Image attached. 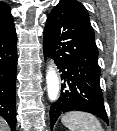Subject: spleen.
<instances>
[{"mask_svg": "<svg viewBox=\"0 0 117 131\" xmlns=\"http://www.w3.org/2000/svg\"><path fill=\"white\" fill-rule=\"evenodd\" d=\"M61 122L70 131H103L101 123L92 114L71 111L62 116Z\"/></svg>", "mask_w": 117, "mask_h": 131, "instance_id": "1", "label": "spleen"}]
</instances>
